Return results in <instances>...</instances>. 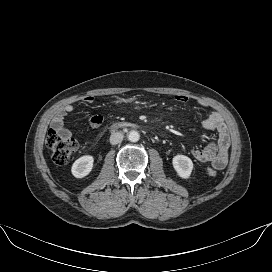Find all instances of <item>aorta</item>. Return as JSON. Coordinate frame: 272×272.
Instances as JSON below:
<instances>
[{
    "mask_svg": "<svg viewBox=\"0 0 272 272\" xmlns=\"http://www.w3.org/2000/svg\"><path fill=\"white\" fill-rule=\"evenodd\" d=\"M140 139V135L137 131H130L128 134V140L131 142H137Z\"/></svg>",
    "mask_w": 272,
    "mask_h": 272,
    "instance_id": "obj_1",
    "label": "aorta"
}]
</instances>
